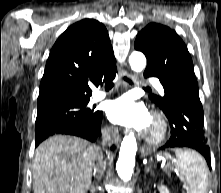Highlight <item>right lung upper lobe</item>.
Listing matches in <instances>:
<instances>
[{
    "mask_svg": "<svg viewBox=\"0 0 221 193\" xmlns=\"http://www.w3.org/2000/svg\"><path fill=\"white\" fill-rule=\"evenodd\" d=\"M116 73V60L105 26L94 19L71 25L55 42L40 84L38 103L88 99L96 86Z\"/></svg>",
    "mask_w": 221,
    "mask_h": 193,
    "instance_id": "right-lung-upper-lobe-1",
    "label": "right lung upper lobe"
}]
</instances>
